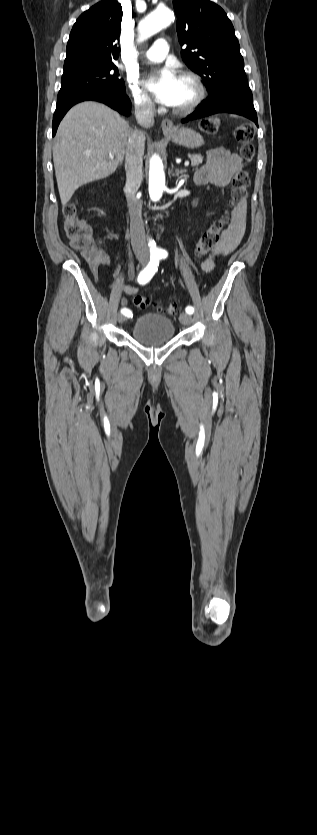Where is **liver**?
Instances as JSON below:
<instances>
[{"label":"liver","mask_w":317,"mask_h":835,"mask_svg":"<svg viewBox=\"0 0 317 835\" xmlns=\"http://www.w3.org/2000/svg\"><path fill=\"white\" fill-rule=\"evenodd\" d=\"M131 130L116 111L100 103L85 101L68 111L58 127L53 146L62 205L68 203L80 186L116 171L124 158Z\"/></svg>","instance_id":"obj_1"}]
</instances>
